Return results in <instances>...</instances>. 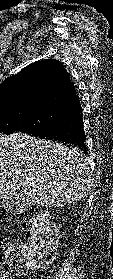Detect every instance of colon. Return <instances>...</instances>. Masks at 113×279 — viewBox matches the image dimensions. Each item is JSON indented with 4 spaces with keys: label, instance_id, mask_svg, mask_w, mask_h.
Wrapping results in <instances>:
<instances>
[{
    "label": "colon",
    "instance_id": "1",
    "mask_svg": "<svg viewBox=\"0 0 113 279\" xmlns=\"http://www.w3.org/2000/svg\"><path fill=\"white\" fill-rule=\"evenodd\" d=\"M24 224L26 244L11 248L0 238V274L11 271L15 275H23L29 261L48 259L55 254L58 232L52 228L46 215L32 217Z\"/></svg>",
    "mask_w": 113,
    "mask_h": 279
}]
</instances>
